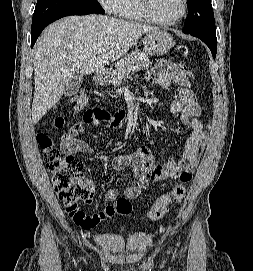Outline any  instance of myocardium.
Masks as SVG:
<instances>
[{
  "label": "myocardium",
  "instance_id": "1",
  "mask_svg": "<svg viewBox=\"0 0 253 271\" xmlns=\"http://www.w3.org/2000/svg\"><path fill=\"white\" fill-rule=\"evenodd\" d=\"M182 4L183 6H182V11L180 15L173 20L166 21V20H161L155 17V15L152 13L151 8H150V0H139L140 9L144 17L148 21L160 26H174L178 24L179 22H181L188 13V0H182Z\"/></svg>",
  "mask_w": 253,
  "mask_h": 271
}]
</instances>
